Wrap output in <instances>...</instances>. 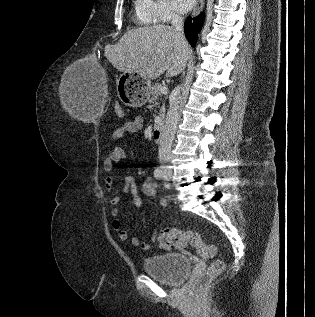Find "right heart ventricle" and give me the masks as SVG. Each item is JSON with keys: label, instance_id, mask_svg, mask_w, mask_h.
Returning <instances> with one entry per match:
<instances>
[{"label": "right heart ventricle", "instance_id": "obj_1", "mask_svg": "<svg viewBox=\"0 0 315 317\" xmlns=\"http://www.w3.org/2000/svg\"><path fill=\"white\" fill-rule=\"evenodd\" d=\"M134 21L140 26H149L156 22L144 0H135Z\"/></svg>", "mask_w": 315, "mask_h": 317}]
</instances>
